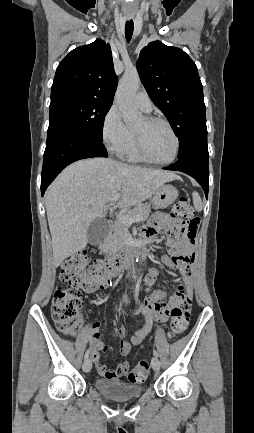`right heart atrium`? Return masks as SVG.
<instances>
[{"instance_id":"1","label":"right heart atrium","mask_w":254,"mask_h":433,"mask_svg":"<svg viewBox=\"0 0 254 433\" xmlns=\"http://www.w3.org/2000/svg\"><path fill=\"white\" fill-rule=\"evenodd\" d=\"M101 138L106 149L114 155H121L133 139V133L125 125L115 106H112L103 118Z\"/></svg>"}]
</instances>
